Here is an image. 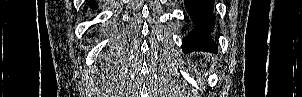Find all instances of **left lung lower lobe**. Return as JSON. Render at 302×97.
<instances>
[{"label":"left lung lower lobe","instance_id":"left-lung-lower-lobe-1","mask_svg":"<svg viewBox=\"0 0 302 97\" xmlns=\"http://www.w3.org/2000/svg\"><path fill=\"white\" fill-rule=\"evenodd\" d=\"M185 8L193 19L195 31L183 39V51H206L217 53V45L210 37L209 30L214 23V0H184Z\"/></svg>","mask_w":302,"mask_h":97}]
</instances>
